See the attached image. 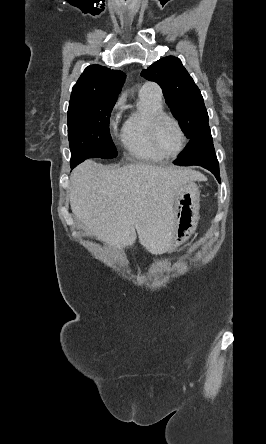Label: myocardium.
Segmentation results:
<instances>
[{
  "mask_svg": "<svg viewBox=\"0 0 266 444\" xmlns=\"http://www.w3.org/2000/svg\"><path fill=\"white\" fill-rule=\"evenodd\" d=\"M165 119H169V120H171V121L176 125V127H177V129H178V131H179V134H180V138H181L180 147H179V149H178L175 153H173V154H167V153H164V152L161 150V148H160V146H159V144H158V141H157V130H158V126H159V124H160L163 120H165ZM149 136H150V140H151V143H152L153 148H154L159 154H161V155H163V156H165V157H167V156H177V155L181 154V153L184 151V149H185V147H186V144H187V137H186V134H185V132H184V129H183V127H182L180 121H179L175 116H173V115H171V114H169V113H166V112H160V113H157V114H155V115L151 118V120H150V124H149Z\"/></svg>",
  "mask_w": 266,
  "mask_h": 444,
  "instance_id": "1",
  "label": "myocardium"
}]
</instances>
